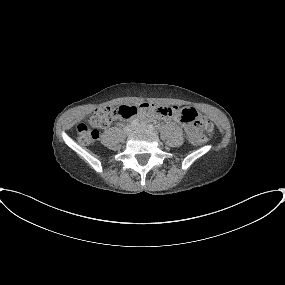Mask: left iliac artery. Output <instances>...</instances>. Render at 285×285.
<instances>
[{
  "instance_id": "left-iliac-artery-1",
  "label": "left iliac artery",
  "mask_w": 285,
  "mask_h": 285,
  "mask_svg": "<svg viewBox=\"0 0 285 285\" xmlns=\"http://www.w3.org/2000/svg\"><path fill=\"white\" fill-rule=\"evenodd\" d=\"M147 127H148V129H150L152 131L155 130V128H154V126L152 124H148Z\"/></svg>"
}]
</instances>
